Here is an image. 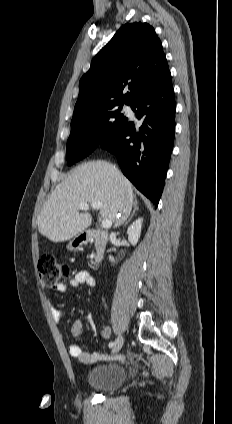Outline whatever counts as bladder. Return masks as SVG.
<instances>
[{"label": "bladder", "mask_w": 232, "mask_h": 424, "mask_svg": "<svg viewBox=\"0 0 232 424\" xmlns=\"http://www.w3.org/2000/svg\"><path fill=\"white\" fill-rule=\"evenodd\" d=\"M127 378L126 368L117 363H105L92 369L87 378L91 389L111 392L118 389Z\"/></svg>", "instance_id": "1"}]
</instances>
